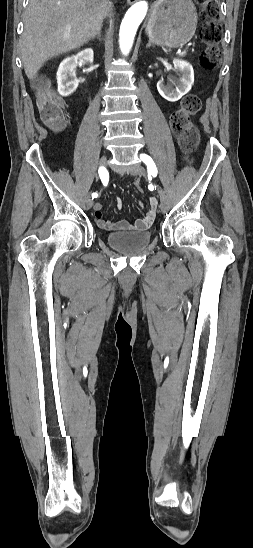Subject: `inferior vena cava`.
<instances>
[{"instance_id": "obj_1", "label": "inferior vena cava", "mask_w": 253, "mask_h": 548, "mask_svg": "<svg viewBox=\"0 0 253 548\" xmlns=\"http://www.w3.org/2000/svg\"><path fill=\"white\" fill-rule=\"evenodd\" d=\"M106 5H107V11L109 13L112 10V3L108 0Z\"/></svg>"}]
</instances>
